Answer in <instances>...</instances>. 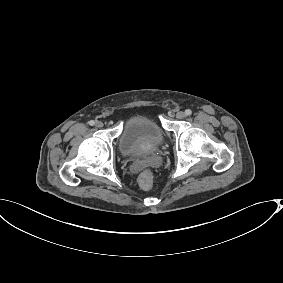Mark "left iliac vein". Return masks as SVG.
Masks as SVG:
<instances>
[{"instance_id":"obj_1","label":"left iliac vein","mask_w":283,"mask_h":283,"mask_svg":"<svg viewBox=\"0 0 283 283\" xmlns=\"http://www.w3.org/2000/svg\"><path fill=\"white\" fill-rule=\"evenodd\" d=\"M185 116H186L185 113L182 112V111H179V112L176 113V118L177 119H184Z\"/></svg>"}]
</instances>
